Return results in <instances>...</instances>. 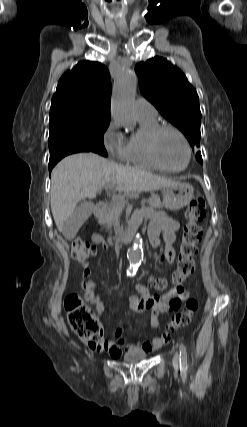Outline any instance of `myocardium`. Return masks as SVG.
Returning a JSON list of instances; mask_svg holds the SVG:
<instances>
[{
	"label": "myocardium",
	"mask_w": 247,
	"mask_h": 427,
	"mask_svg": "<svg viewBox=\"0 0 247 427\" xmlns=\"http://www.w3.org/2000/svg\"><path fill=\"white\" fill-rule=\"evenodd\" d=\"M165 131L174 132L175 134H177L180 137V139L184 143V146H185L186 152H187V159H186L185 164L181 168L173 169V168L167 167L166 165H164L162 163V161L159 158V155L157 152V142H158L160 135ZM147 148H148V153H149L152 161L156 164V166L159 169L166 171V172L178 173V172L184 171L188 167V165L191 161V157H192L191 146H190V143H189L186 135L179 128H177L173 125H170V124L158 125L157 127H155L151 131V133L149 134L148 139H147Z\"/></svg>",
	"instance_id": "1"
}]
</instances>
